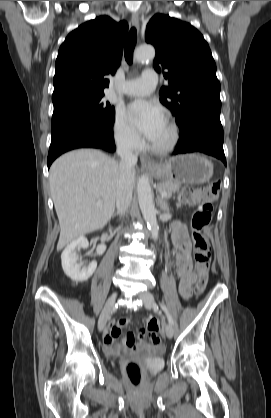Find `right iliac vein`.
Masks as SVG:
<instances>
[{
  "label": "right iliac vein",
  "instance_id": "1",
  "mask_svg": "<svg viewBox=\"0 0 271 418\" xmlns=\"http://www.w3.org/2000/svg\"><path fill=\"white\" fill-rule=\"evenodd\" d=\"M116 297H117V294H113L107 300V302H106V304L104 306V309H103V311H102V313L100 315L99 321H98V329H99V331H103L104 330V328L106 326V323H107V320L109 318V315H110L111 311L114 308L115 301H116Z\"/></svg>",
  "mask_w": 271,
  "mask_h": 418
}]
</instances>
